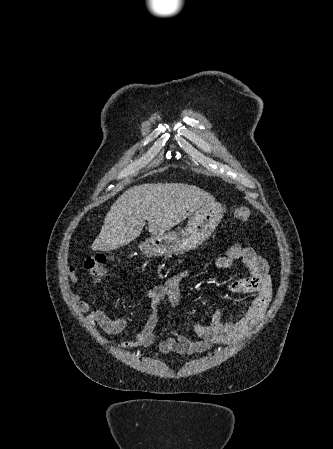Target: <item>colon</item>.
<instances>
[{
    "mask_svg": "<svg viewBox=\"0 0 333 449\" xmlns=\"http://www.w3.org/2000/svg\"><path fill=\"white\" fill-rule=\"evenodd\" d=\"M251 216V211L247 206H241L235 209L233 217L237 220L245 221ZM109 257L105 254L89 255L84 258V268L93 275H102L106 271V265Z\"/></svg>",
    "mask_w": 333,
    "mask_h": 449,
    "instance_id": "5ec220e1",
    "label": "colon"
}]
</instances>
